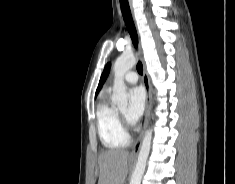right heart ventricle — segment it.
<instances>
[{"instance_id":"e07e8e85","label":"right heart ventricle","mask_w":235,"mask_h":184,"mask_svg":"<svg viewBox=\"0 0 235 184\" xmlns=\"http://www.w3.org/2000/svg\"><path fill=\"white\" fill-rule=\"evenodd\" d=\"M96 126L98 136L106 154L122 151L131 142L129 134L123 128L117 111L102 100L96 109Z\"/></svg>"}]
</instances>
